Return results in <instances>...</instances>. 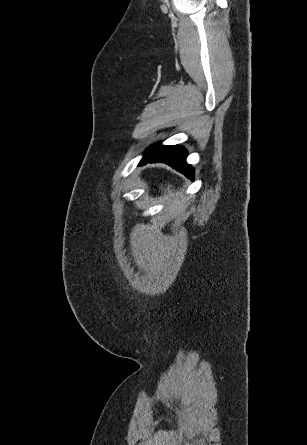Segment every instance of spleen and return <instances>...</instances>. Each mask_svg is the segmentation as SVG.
<instances>
[{
    "label": "spleen",
    "mask_w": 307,
    "mask_h": 445,
    "mask_svg": "<svg viewBox=\"0 0 307 445\" xmlns=\"http://www.w3.org/2000/svg\"><path fill=\"white\" fill-rule=\"evenodd\" d=\"M165 192H168V196H164V198H166V200H169V202H171V200H174V206H177V210H180V208H186V200H178L177 194H179V192H175V194H173L172 188H170V184H168ZM170 196H175V198H170Z\"/></svg>",
    "instance_id": "spleen-1"
}]
</instances>
